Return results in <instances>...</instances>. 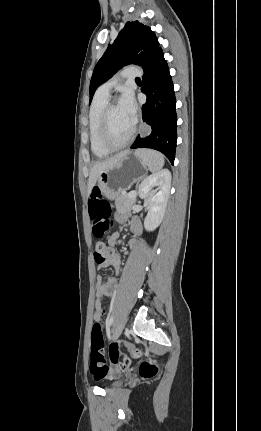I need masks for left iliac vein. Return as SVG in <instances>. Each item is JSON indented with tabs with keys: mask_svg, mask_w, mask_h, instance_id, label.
I'll use <instances>...</instances> for the list:
<instances>
[{
	"mask_svg": "<svg viewBox=\"0 0 261 431\" xmlns=\"http://www.w3.org/2000/svg\"><path fill=\"white\" fill-rule=\"evenodd\" d=\"M125 327V322L124 321H120L115 328L113 329V335L112 338L115 340L117 339L120 334L122 333L123 329Z\"/></svg>",
	"mask_w": 261,
	"mask_h": 431,
	"instance_id": "left-iliac-vein-1",
	"label": "left iliac vein"
}]
</instances>
